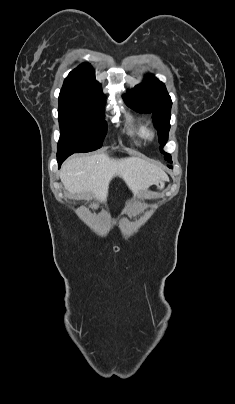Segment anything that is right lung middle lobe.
Masks as SVG:
<instances>
[{
    "mask_svg": "<svg viewBox=\"0 0 235 404\" xmlns=\"http://www.w3.org/2000/svg\"><path fill=\"white\" fill-rule=\"evenodd\" d=\"M104 104L59 97L57 154L89 152L102 146L107 131Z\"/></svg>",
    "mask_w": 235,
    "mask_h": 404,
    "instance_id": "obj_1",
    "label": "right lung middle lobe"
}]
</instances>
